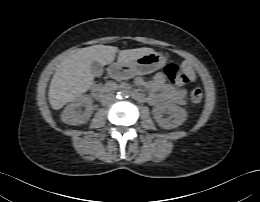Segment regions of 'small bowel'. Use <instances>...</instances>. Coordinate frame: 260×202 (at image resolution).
Returning <instances> with one entry per match:
<instances>
[{"mask_svg":"<svg viewBox=\"0 0 260 202\" xmlns=\"http://www.w3.org/2000/svg\"><path fill=\"white\" fill-rule=\"evenodd\" d=\"M135 83L138 86L146 87L150 91L144 99L151 105L163 102H172L180 105L185 103V91L176 89L168 84L162 73H157L153 79L149 81H145L142 77H136Z\"/></svg>","mask_w":260,"mask_h":202,"instance_id":"small-bowel-1","label":"small bowel"}]
</instances>
